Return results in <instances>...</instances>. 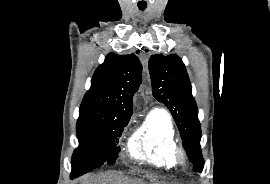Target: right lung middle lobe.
Masks as SVG:
<instances>
[{
	"instance_id": "right-lung-middle-lobe-1",
	"label": "right lung middle lobe",
	"mask_w": 270,
	"mask_h": 184,
	"mask_svg": "<svg viewBox=\"0 0 270 184\" xmlns=\"http://www.w3.org/2000/svg\"><path fill=\"white\" fill-rule=\"evenodd\" d=\"M128 121H118L95 116L86 107H80L77 121L79 147L72 157L71 177H77L102 166L114 164L120 146L119 137Z\"/></svg>"
}]
</instances>
